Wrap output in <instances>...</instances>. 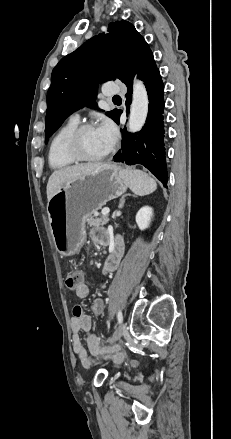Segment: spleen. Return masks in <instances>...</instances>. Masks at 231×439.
<instances>
[{
    "label": "spleen",
    "instance_id": "1",
    "mask_svg": "<svg viewBox=\"0 0 231 439\" xmlns=\"http://www.w3.org/2000/svg\"><path fill=\"white\" fill-rule=\"evenodd\" d=\"M124 178L128 187L137 195L144 196L151 194L157 188L155 180L141 170H123Z\"/></svg>",
    "mask_w": 231,
    "mask_h": 439
}]
</instances>
